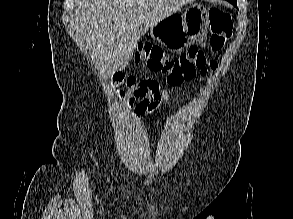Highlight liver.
<instances>
[{
    "label": "liver",
    "instance_id": "1",
    "mask_svg": "<svg viewBox=\"0 0 293 219\" xmlns=\"http://www.w3.org/2000/svg\"><path fill=\"white\" fill-rule=\"evenodd\" d=\"M191 2L194 0H76V38L100 73L108 76L127 67L149 27Z\"/></svg>",
    "mask_w": 293,
    "mask_h": 219
}]
</instances>
